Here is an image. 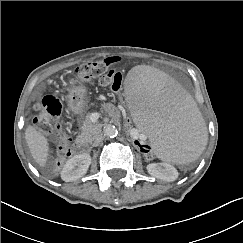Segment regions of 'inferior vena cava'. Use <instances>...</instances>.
Segmentation results:
<instances>
[{
    "label": "inferior vena cava",
    "instance_id": "obj_1",
    "mask_svg": "<svg viewBox=\"0 0 243 243\" xmlns=\"http://www.w3.org/2000/svg\"><path fill=\"white\" fill-rule=\"evenodd\" d=\"M102 140H103V135L98 134L93 138L91 144H92V146L97 147L102 142Z\"/></svg>",
    "mask_w": 243,
    "mask_h": 243
}]
</instances>
